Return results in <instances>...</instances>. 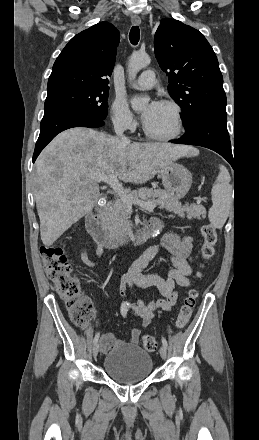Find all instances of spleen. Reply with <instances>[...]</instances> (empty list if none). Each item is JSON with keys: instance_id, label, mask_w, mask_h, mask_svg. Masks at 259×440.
<instances>
[{"instance_id": "obj_1", "label": "spleen", "mask_w": 259, "mask_h": 440, "mask_svg": "<svg viewBox=\"0 0 259 440\" xmlns=\"http://www.w3.org/2000/svg\"><path fill=\"white\" fill-rule=\"evenodd\" d=\"M219 169L220 172L211 191L213 205L209 209L208 218L213 227L221 229L232 206V186L230 185L231 177L226 167L220 165Z\"/></svg>"}]
</instances>
